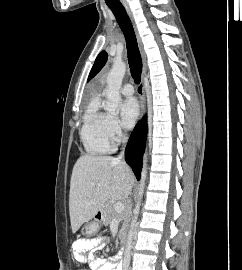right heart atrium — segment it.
<instances>
[{"label": "right heart atrium", "instance_id": "1", "mask_svg": "<svg viewBox=\"0 0 242 270\" xmlns=\"http://www.w3.org/2000/svg\"><path fill=\"white\" fill-rule=\"evenodd\" d=\"M108 130L113 142L118 143L125 137V130L116 117H109Z\"/></svg>", "mask_w": 242, "mask_h": 270}]
</instances>
